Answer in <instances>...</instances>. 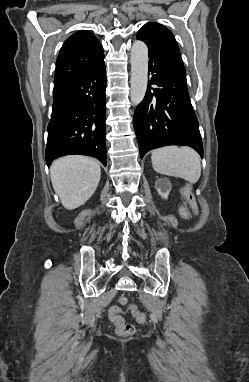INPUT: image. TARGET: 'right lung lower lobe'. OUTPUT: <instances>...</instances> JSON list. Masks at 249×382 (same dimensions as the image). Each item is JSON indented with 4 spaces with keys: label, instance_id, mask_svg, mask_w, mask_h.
<instances>
[{
    "label": "right lung lower lobe",
    "instance_id": "obj_1",
    "mask_svg": "<svg viewBox=\"0 0 249 382\" xmlns=\"http://www.w3.org/2000/svg\"><path fill=\"white\" fill-rule=\"evenodd\" d=\"M106 73L98 62L54 93L48 124L46 162L70 154L98 158L106 166Z\"/></svg>",
    "mask_w": 249,
    "mask_h": 382
}]
</instances>
